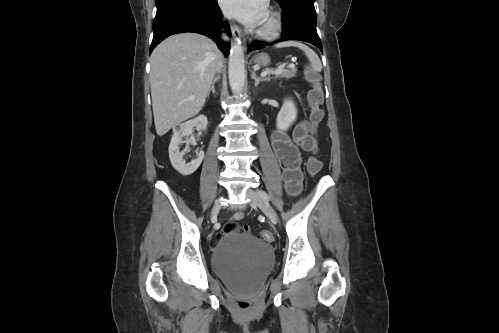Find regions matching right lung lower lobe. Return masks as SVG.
<instances>
[{
	"instance_id": "98d812e1",
	"label": "right lung lower lobe",
	"mask_w": 499,
	"mask_h": 333,
	"mask_svg": "<svg viewBox=\"0 0 499 333\" xmlns=\"http://www.w3.org/2000/svg\"><path fill=\"white\" fill-rule=\"evenodd\" d=\"M223 25L217 0L194 3L187 0H170L157 6L153 22L154 36L150 53L165 38L182 32H195L213 39L225 56L230 46L220 40ZM225 26H228L225 24ZM230 34L229 29L227 28Z\"/></svg>"
}]
</instances>
